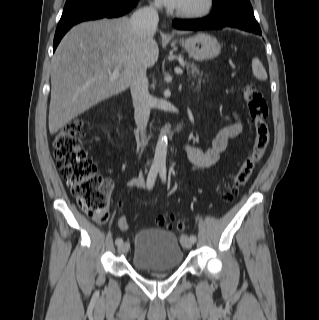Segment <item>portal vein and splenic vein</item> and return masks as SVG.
Instances as JSON below:
<instances>
[{"instance_id":"portal-vein-and-splenic-vein-1","label":"portal vein and splenic vein","mask_w":319,"mask_h":320,"mask_svg":"<svg viewBox=\"0 0 319 320\" xmlns=\"http://www.w3.org/2000/svg\"><path fill=\"white\" fill-rule=\"evenodd\" d=\"M120 68H121L120 66L115 67V69L113 71V74L110 76V79H115L118 76ZM174 71H175V73H178V74H182L183 73V70L181 68H179V67H176L174 69Z\"/></svg>"}]
</instances>
